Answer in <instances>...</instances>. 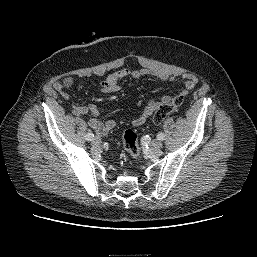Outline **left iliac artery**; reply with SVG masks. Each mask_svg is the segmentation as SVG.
<instances>
[{
    "mask_svg": "<svg viewBox=\"0 0 257 257\" xmlns=\"http://www.w3.org/2000/svg\"><path fill=\"white\" fill-rule=\"evenodd\" d=\"M157 138L159 140H164L165 139V135L163 133H158Z\"/></svg>",
    "mask_w": 257,
    "mask_h": 257,
    "instance_id": "44dca946",
    "label": "left iliac artery"
}]
</instances>
